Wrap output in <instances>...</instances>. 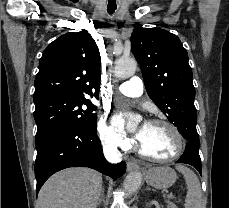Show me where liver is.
Returning <instances> with one entry per match:
<instances>
[{"mask_svg": "<svg viewBox=\"0 0 229 208\" xmlns=\"http://www.w3.org/2000/svg\"><path fill=\"white\" fill-rule=\"evenodd\" d=\"M102 176L89 168H67L42 186L37 208H96Z\"/></svg>", "mask_w": 229, "mask_h": 208, "instance_id": "obj_1", "label": "liver"}]
</instances>
